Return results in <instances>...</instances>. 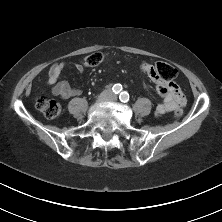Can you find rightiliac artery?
<instances>
[{"mask_svg": "<svg viewBox=\"0 0 222 222\" xmlns=\"http://www.w3.org/2000/svg\"><path fill=\"white\" fill-rule=\"evenodd\" d=\"M112 90H113V92H114L115 94L120 93V91L122 90L121 84H115V85L113 86Z\"/></svg>", "mask_w": 222, "mask_h": 222, "instance_id": "1", "label": "right iliac artery"}]
</instances>
